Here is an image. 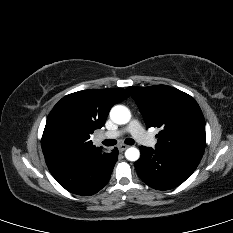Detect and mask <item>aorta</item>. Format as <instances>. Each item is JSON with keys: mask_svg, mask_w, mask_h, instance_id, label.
<instances>
[{"mask_svg": "<svg viewBox=\"0 0 233 233\" xmlns=\"http://www.w3.org/2000/svg\"><path fill=\"white\" fill-rule=\"evenodd\" d=\"M111 120L119 125L126 124L131 119L129 109L123 105H116L110 111ZM125 157L130 161H137L140 157V151L135 147H130L125 151Z\"/></svg>", "mask_w": 233, "mask_h": 233, "instance_id": "aorta-1", "label": "aorta"}]
</instances>
